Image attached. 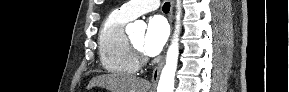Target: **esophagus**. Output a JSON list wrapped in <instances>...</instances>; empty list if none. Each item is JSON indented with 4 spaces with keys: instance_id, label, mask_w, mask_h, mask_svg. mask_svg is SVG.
Returning a JSON list of instances; mask_svg holds the SVG:
<instances>
[{
    "instance_id": "obj_1",
    "label": "esophagus",
    "mask_w": 289,
    "mask_h": 92,
    "mask_svg": "<svg viewBox=\"0 0 289 92\" xmlns=\"http://www.w3.org/2000/svg\"><path fill=\"white\" fill-rule=\"evenodd\" d=\"M173 8H174V3L173 1H171V9H170V14H169V22L172 25L173 22ZM163 62H164V58H162V60L159 62V64L155 67L153 74H152V85L153 87L157 86L158 83V79H159V75H160V71L161 68L163 66Z\"/></svg>"
}]
</instances>
